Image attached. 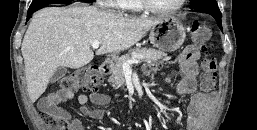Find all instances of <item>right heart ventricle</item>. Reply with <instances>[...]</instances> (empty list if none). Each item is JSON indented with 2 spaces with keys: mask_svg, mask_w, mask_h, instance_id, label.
Here are the masks:
<instances>
[{
  "mask_svg": "<svg viewBox=\"0 0 257 130\" xmlns=\"http://www.w3.org/2000/svg\"><path fill=\"white\" fill-rule=\"evenodd\" d=\"M119 8L126 13H140L143 11L138 0H119Z\"/></svg>",
  "mask_w": 257,
  "mask_h": 130,
  "instance_id": "obj_1",
  "label": "right heart ventricle"
}]
</instances>
